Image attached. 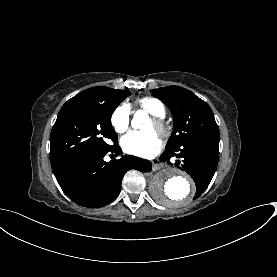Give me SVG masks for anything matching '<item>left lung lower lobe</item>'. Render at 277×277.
Returning a JSON list of instances; mask_svg holds the SVG:
<instances>
[{
	"instance_id": "left-lung-lower-lobe-1",
	"label": "left lung lower lobe",
	"mask_w": 277,
	"mask_h": 277,
	"mask_svg": "<svg viewBox=\"0 0 277 277\" xmlns=\"http://www.w3.org/2000/svg\"><path fill=\"white\" fill-rule=\"evenodd\" d=\"M173 156L182 158L175 162V166L185 170L196 184L195 198L199 197L208 187L215 173L219 159V135H205L197 137L183 143L179 148L166 150L160 157V161L165 162Z\"/></svg>"
}]
</instances>
